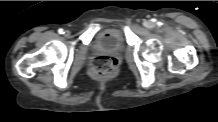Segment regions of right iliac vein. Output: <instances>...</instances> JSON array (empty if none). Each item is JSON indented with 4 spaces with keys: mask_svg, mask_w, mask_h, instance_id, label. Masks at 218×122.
Wrapping results in <instances>:
<instances>
[{
    "mask_svg": "<svg viewBox=\"0 0 218 122\" xmlns=\"http://www.w3.org/2000/svg\"><path fill=\"white\" fill-rule=\"evenodd\" d=\"M64 34H65V36H69V35H70V31L66 30V31L64 32Z\"/></svg>",
    "mask_w": 218,
    "mask_h": 122,
    "instance_id": "63e3f726",
    "label": "right iliac vein"
}]
</instances>
